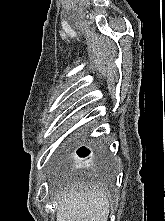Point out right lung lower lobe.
Segmentation results:
<instances>
[{"mask_svg": "<svg viewBox=\"0 0 165 221\" xmlns=\"http://www.w3.org/2000/svg\"><path fill=\"white\" fill-rule=\"evenodd\" d=\"M77 154L79 157H86L90 154V151L86 147H81L77 150ZM104 159L103 156H97L95 160L89 166H100L103 165Z\"/></svg>", "mask_w": 165, "mask_h": 221, "instance_id": "98d812e1", "label": "right lung lower lobe"}]
</instances>
